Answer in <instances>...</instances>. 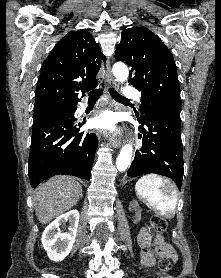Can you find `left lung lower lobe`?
<instances>
[{
	"label": "left lung lower lobe",
	"mask_w": 221,
	"mask_h": 278,
	"mask_svg": "<svg viewBox=\"0 0 221 278\" xmlns=\"http://www.w3.org/2000/svg\"><path fill=\"white\" fill-rule=\"evenodd\" d=\"M138 121L141 148L135 153L128 176L156 173L171 178L180 188L183 177L180 112L153 108Z\"/></svg>",
	"instance_id": "left-lung-lower-lobe-1"
}]
</instances>
